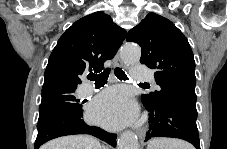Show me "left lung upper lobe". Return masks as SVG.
<instances>
[{"label": "left lung upper lobe", "instance_id": "1", "mask_svg": "<svg viewBox=\"0 0 227 149\" xmlns=\"http://www.w3.org/2000/svg\"><path fill=\"white\" fill-rule=\"evenodd\" d=\"M127 41L142 48L141 63L157 70L154 74L159 91L143 94L150 103L170 100L196 106L195 61L187 38L167 18L149 13L131 29Z\"/></svg>", "mask_w": 227, "mask_h": 149}]
</instances>
